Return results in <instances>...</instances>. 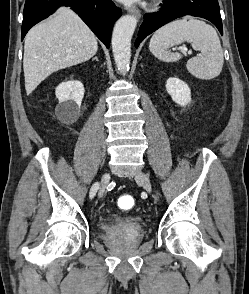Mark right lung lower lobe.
I'll use <instances>...</instances> for the list:
<instances>
[{
  "instance_id": "right-lung-lower-lobe-1",
  "label": "right lung lower lobe",
  "mask_w": 249,
  "mask_h": 294,
  "mask_svg": "<svg viewBox=\"0 0 249 294\" xmlns=\"http://www.w3.org/2000/svg\"><path fill=\"white\" fill-rule=\"evenodd\" d=\"M70 6L109 48L114 22L122 11L111 0H26L23 11V40L29 29L47 18L60 6Z\"/></svg>"
}]
</instances>
